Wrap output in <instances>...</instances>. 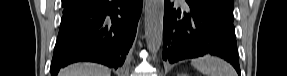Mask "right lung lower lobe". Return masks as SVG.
Listing matches in <instances>:
<instances>
[{
  "instance_id": "obj_1",
  "label": "right lung lower lobe",
  "mask_w": 287,
  "mask_h": 76,
  "mask_svg": "<svg viewBox=\"0 0 287 76\" xmlns=\"http://www.w3.org/2000/svg\"><path fill=\"white\" fill-rule=\"evenodd\" d=\"M142 0H86L61 19L51 75L77 61L117 69L134 41Z\"/></svg>"
}]
</instances>
